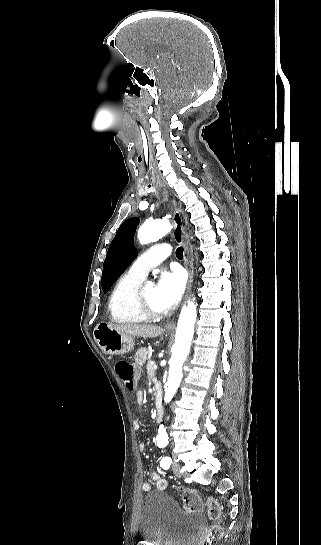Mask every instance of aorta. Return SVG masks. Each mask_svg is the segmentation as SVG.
<instances>
[{
  "instance_id": "obj_1",
  "label": "aorta",
  "mask_w": 321,
  "mask_h": 545,
  "mask_svg": "<svg viewBox=\"0 0 321 545\" xmlns=\"http://www.w3.org/2000/svg\"><path fill=\"white\" fill-rule=\"evenodd\" d=\"M172 229L171 223L166 219L145 222L138 231V239L141 244H148L158 241ZM193 301H188L180 313L175 343L172 351L173 355L170 359L169 377L166 383L164 401L170 402L174 397L181 379L182 366L190 351L191 341L194 334V326L197 317L196 304ZM168 434L163 425L160 426L157 435V444L166 445L168 443Z\"/></svg>"
}]
</instances>
